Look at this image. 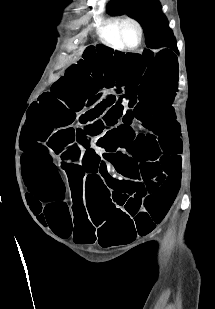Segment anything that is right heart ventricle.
<instances>
[{"label": "right heart ventricle", "instance_id": "e07e8e85", "mask_svg": "<svg viewBox=\"0 0 215 309\" xmlns=\"http://www.w3.org/2000/svg\"><path fill=\"white\" fill-rule=\"evenodd\" d=\"M119 17L110 18L106 23L99 24L98 38L106 46L114 48H123L122 41L116 31V24Z\"/></svg>", "mask_w": 215, "mask_h": 309}]
</instances>
